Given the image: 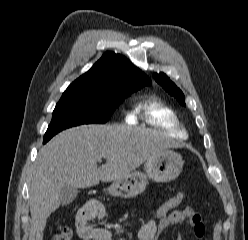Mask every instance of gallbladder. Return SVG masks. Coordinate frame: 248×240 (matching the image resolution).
Here are the masks:
<instances>
[{"mask_svg":"<svg viewBox=\"0 0 248 240\" xmlns=\"http://www.w3.org/2000/svg\"><path fill=\"white\" fill-rule=\"evenodd\" d=\"M78 194V188L71 186V185H65L61 190H60V200L61 204L63 206L68 205L74 201Z\"/></svg>","mask_w":248,"mask_h":240,"instance_id":"gallbladder-1","label":"gallbladder"}]
</instances>
